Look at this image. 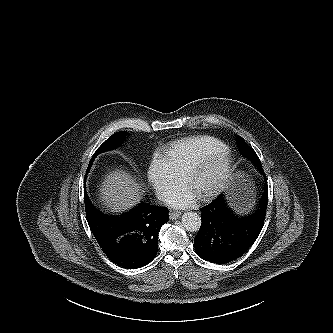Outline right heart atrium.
<instances>
[{"mask_svg": "<svg viewBox=\"0 0 333 333\" xmlns=\"http://www.w3.org/2000/svg\"><path fill=\"white\" fill-rule=\"evenodd\" d=\"M146 178L157 197L164 200L181 185V178L175 175L165 159L155 155L149 162Z\"/></svg>", "mask_w": 333, "mask_h": 333, "instance_id": "1", "label": "right heart atrium"}]
</instances>
